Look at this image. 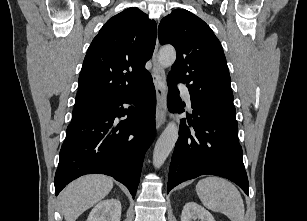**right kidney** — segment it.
<instances>
[{
  "instance_id": "obj_1",
  "label": "right kidney",
  "mask_w": 307,
  "mask_h": 221,
  "mask_svg": "<svg viewBox=\"0 0 307 221\" xmlns=\"http://www.w3.org/2000/svg\"><path fill=\"white\" fill-rule=\"evenodd\" d=\"M121 202L107 199L99 202L90 212L87 221H120Z\"/></svg>"
}]
</instances>
